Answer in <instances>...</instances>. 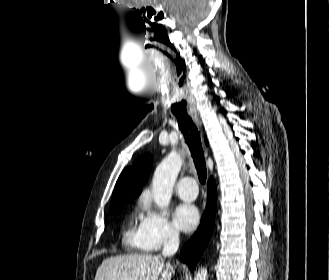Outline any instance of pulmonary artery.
<instances>
[{"mask_svg":"<svg viewBox=\"0 0 329 280\" xmlns=\"http://www.w3.org/2000/svg\"><path fill=\"white\" fill-rule=\"evenodd\" d=\"M177 195L186 201H192L197 197V184L193 177L185 176L176 184Z\"/></svg>","mask_w":329,"mask_h":280,"instance_id":"obj_1","label":"pulmonary artery"}]
</instances>
